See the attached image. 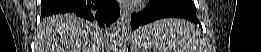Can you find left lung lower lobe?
<instances>
[{"instance_id": "left-lung-lower-lobe-1", "label": "left lung lower lobe", "mask_w": 261, "mask_h": 52, "mask_svg": "<svg viewBox=\"0 0 261 52\" xmlns=\"http://www.w3.org/2000/svg\"><path fill=\"white\" fill-rule=\"evenodd\" d=\"M166 17L185 18L198 23L195 5L187 0H152L143 11L131 15V27L135 28Z\"/></svg>"}]
</instances>
